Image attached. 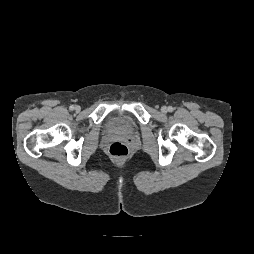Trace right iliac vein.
I'll return each instance as SVG.
<instances>
[{
  "label": "right iliac vein",
  "mask_w": 254,
  "mask_h": 254,
  "mask_svg": "<svg viewBox=\"0 0 254 254\" xmlns=\"http://www.w3.org/2000/svg\"><path fill=\"white\" fill-rule=\"evenodd\" d=\"M75 110H76L77 112H79V111L81 110L80 106H76V107H75Z\"/></svg>",
  "instance_id": "obj_1"
}]
</instances>
